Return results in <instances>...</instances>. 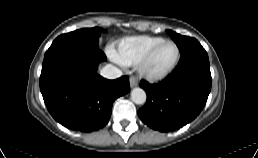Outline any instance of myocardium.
<instances>
[{
    "label": "myocardium",
    "instance_id": "myocardium-1",
    "mask_svg": "<svg viewBox=\"0 0 258 158\" xmlns=\"http://www.w3.org/2000/svg\"><path fill=\"white\" fill-rule=\"evenodd\" d=\"M165 43H170L173 44L175 49H176V57L175 60L173 61V63L168 66L166 69H164L161 72L155 73V72H151L150 70H148L147 65L148 62L150 61L151 57L154 55V53L156 52V50ZM180 58H181V53H180V49L178 47V45L169 39H163L162 41H160L158 44H156L153 48H151L147 54L142 58V60L139 63L138 66V70L141 76H143L144 78H146L147 80L150 81H161L163 79H165L168 75H170L175 68L177 67V65L180 62Z\"/></svg>",
    "mask_w": 258,
    "mask_h": 158
}]
</instances>
